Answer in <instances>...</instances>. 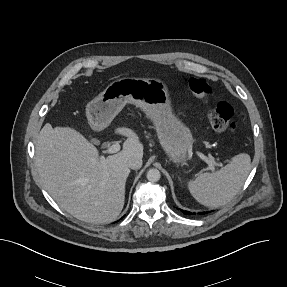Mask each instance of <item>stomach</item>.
<instances>
[{"instance_id":"1","label":"stomach","mask_w":287,"mask_h":287,"mask_svg":"<svg viewBox=\"0 0 287 287\" xmlns=\"http://www.w3.org/2000/svg\"><path fill=\"white\" fill-rule=\"evenodd\" d=\"M140 108L153 123L160 144L174 163H185L194 142L190 129L173 113L166 84L157 78L116 79L86 109L94 130L107 127L126 104Z\"/></svg>"}]
</instances>
